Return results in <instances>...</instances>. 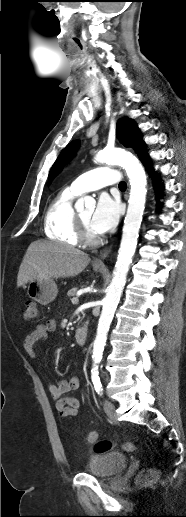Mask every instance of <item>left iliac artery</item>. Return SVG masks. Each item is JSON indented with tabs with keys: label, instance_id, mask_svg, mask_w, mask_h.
<instances>
[{
	"label": "left iliac artery",
	"instance_id": "left-iliac-artery-1",
	"mask_svg": "<svg viewBox=\"0 0 186 517\" xmlns=\"http://www.w3.org/2000/svg\"><path fill=\"white\" fill-rule=\"evenodd\" d=\"M91 379H92V382H93V385H94V388H95L96 392H98V394L102 395L103 394V392H102L103 388H102V384L100 382V378L98 376V371L92 370Z\"/></svg>",
	"mask_w": 186,
	"mask_h": 517
}]
</instances>
